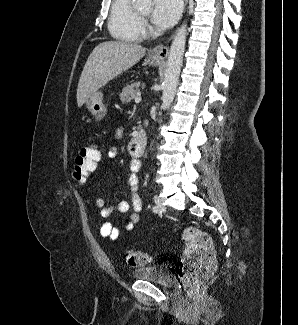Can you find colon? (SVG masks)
Returning <instances> with one entry per match:
<instances>
[{"label":"colon","mask_w":298,"mask_h":325,"mask_svg":"<svg viewBox=\"0 0 298 325\" xmlns=\"http://www.w3.org/2000/svg\"><path fill=\"white\" fill-rule=\"evenodd\" d=\"M100 159L97 143H86L79 151L73 167V178L84 184L95 171ZM184 251L179 264L178 274L188 294L196 293L212 276L215 267V253L212 241L204 231L190 227L183 233ZM131 267H140L150 261L143 251H129L125 255Z\"/></svg>","instance_id":"obj_1"}]
</instances>
